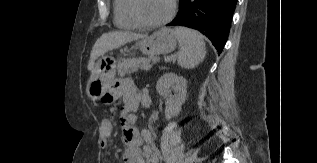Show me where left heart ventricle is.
<instances>
[{"label": "left heart ventricle", "instance_id": "obj_1", "mask_svg": "<svg viewBox=\"0 0 317 163\" xmlns=\"http://www.w3.org/2000/svg\"><path fill=\"white\" fill-rule=\"evenodd\" d=\"M171 1L172 0H140V12L147 21H160L169 14Z\"/></svg>", "mask_w": 317, "mask_h": 163}]
</instances>
